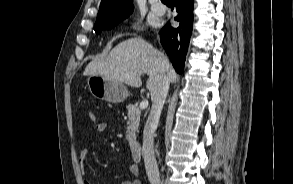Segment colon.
Returning a JSON list of instances; mask_svg holds the SVG:
<instances>
[{
	"label": "colon",
	"mask_w": 293,
	"mask_h": 184,
	"mask_svg": "<svg viewBox=\"0 0 293 184\" xmlns=\"http://www.w3.org/2000/svg\"><path fill=\"white\" fill-rule=\"evenodd\" d=\"M88 116H89V119L91 121H95L96 120V114L93 111H90L89 114H88Z\"/></svg>",
	"instance_id": "1"
}]
</instances>
